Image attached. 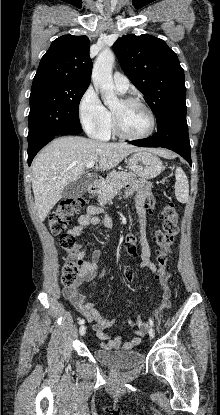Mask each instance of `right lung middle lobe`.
Instances as JSON below:
<instances>
[{
  "instance_id": "dd1d6c3e",
  "label": "right lung middle lobe",
  "mask_w": 220,
  "mask_h": 415,
  "mask_svg": "<svg viewBox=\"0 0 220 415\" xmlns=\"http://www.w3.org/2000/svg\"><path fill=\"white\" fill-rule=\"evenodd\" d=\"M87 85L61 81L33 82L28 116V151L46 138L81 130L78 111Z\"/></svg>"
}]
</instances>
